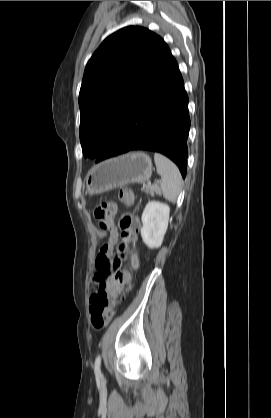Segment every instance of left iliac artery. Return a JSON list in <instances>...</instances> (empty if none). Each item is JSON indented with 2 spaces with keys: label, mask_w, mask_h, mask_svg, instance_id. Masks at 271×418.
I'll use <instances>...</instances> for the list:
<instances>
[{
  "label": "left iliac artery",
  "mask_w": 271,
  "mask_h": 418,
  "mask_svg": "<svg viewBox=\"0 0 271 418\" xmlns=\"http://www.w3.org/2000/svg\"><path fill=\"white\" fill-rule=\"evenodd\" d=\"M100 364H101V356L98 355L97 358H96V360H95V363H94V372H95V375L97 377H101L102 376L101 375V370H100Z\"/></svg>",
  "instance_id": "1"
}]
</instances>
